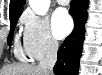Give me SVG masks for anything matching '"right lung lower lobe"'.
I'll use <instances>...</instances> for the list:
<instances>
[{
	"mask_svg": "<svg viewBox=\"0 0 102 75\" xmlns=\"http://www.w3.org/2000/svg\"><path fill=\"white\" fill-rule=\"evenodd\" d=\"M88 3V0H71L69 13L74 19L75 27L58 50L57 62L53 68L55 75L78 74Z\"/></svg>",
	"mask_w": 102,
	"mask_h": 75,
	"instance_id": "right-lung-lower-lobe-1",
	"label": "right lung lower lobe"
}]
</instances>
